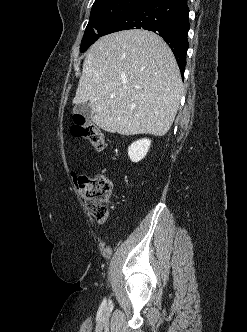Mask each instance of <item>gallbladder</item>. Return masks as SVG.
Returning <instances> with one entry per match:
<instances>
[{
    "mask_svg": "<svg viewBox=\"0 0 247 332\" xmlns=\"http://www.w3.org/2000/svg\"><path fill=\"white\" fill-rule=\"evenodd\" d=\"M73 113L74 114H81L85 118L89 119L92 115V110L91 107L89 106L88 103H82L78 104L73 108Z\"/></svg>",
    "mask_w": 247,
    "mask_h": 332,
    "instance_id": "1",
    "label": "gallbladder"
}]
</instances>
